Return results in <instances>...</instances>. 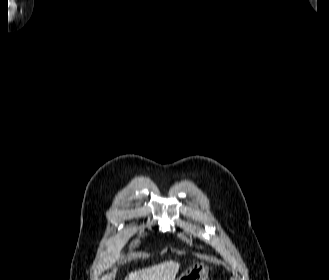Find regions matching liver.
<instances>
[{
    "label": "liver",
    "mask_w": 329,
    "mask_h": 280,
    "mask_svg": "<svg viewBox=\"0 0 329 280\" xmlns=\"http://www.w3.org/2000/svg\"><path fill=\"white\" fill-rule=\"evenodd\" d=\"M179 267L178 262L169 260L139 271L135 270L129 273L125 280H175Z\"/></svg>",
    "instance_id": "obj_1"
}]
</instances>
